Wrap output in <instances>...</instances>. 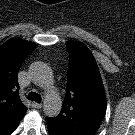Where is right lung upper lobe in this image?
<instances>
[{
    "label": "right lung upper lobe",
    "mask_w": 135,
    "mask_h": 135,
    "mask_svg": "<svg viewBox=\"0 0 135 135\" xmlns=\"http://www.w3.org/2000/svg\"><path fill=\"white\" fill-rule=\"evenodd\" d=\"M36 44L12 39L0 46V135H10L27 108L19 97L18 71Z\"/></svg>",
    "instance_id": "obj_1"
}]
</instances>
